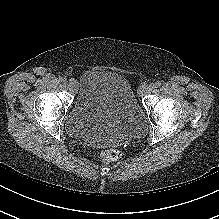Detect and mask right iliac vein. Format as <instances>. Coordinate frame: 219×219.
I'll return each instance as SVG.
<instances>
[{
    "instance_id": "1",
    "label": "right iliac vein",
    "mask_w": 219,
    "mask_h": 219,
    "mask_svg": "<svg viewBox=\"0 0 219 219\" xmlns=\"http://www.w3.org/2000/svg\"><path fill=\"white\" fill-rule=\"evenodd\" d=\"M64 84L70 89L74 90L76 88V81L74 79H70L69 81H64Z\"/></svg>"
}]
</instances>
